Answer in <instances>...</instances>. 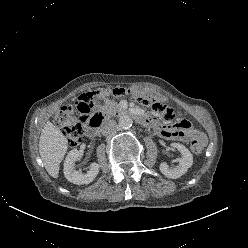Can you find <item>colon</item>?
I'll use <instances>...</instances> for the list:
<instances>
[{"label":"colon","instance_id":"colon-1","mask_svg":"<svg viewBox=\"0 0 248 248\" xmlns=\"http://www.w3.org/2000/svg\"><path fill=\"white\" fill-rule=\"evenodd\" d=\"M131 90L125 88H116L112 91V95L118 96ZM135 96L138 101L144 105L150 106L161 119L170 123L175 120L177 114L170 107L165 98L153 91H136ZM85 94L82 95L75 106H63L55 115L54 123L59 127L66 136L71 147L80 144L85 127L89 121L96 117L97 109L88 108L84 102ZM205 147V139L195 137L192 139L190 149L195 154H200Z\"/></svg>","mask_w":248,"mask_h":248}]
</instances>
